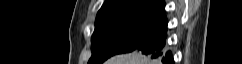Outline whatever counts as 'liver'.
<instances>
[{
    "label": "liver",
    "mask_w": 242,
    "mask_h": 64,
    "mask_svg": "<svg viewBox=\"0 0 242 64\" xmlns=\"http://www.w3.org/2000/svg\"><path fill=\"white\" fill-rule=\"evenodd\" d=\"M106 64H153L144 55L138 52L121 54L110 58Z\"/></svg>",
    "instance_id": "obj_1"
}]
</instances>
